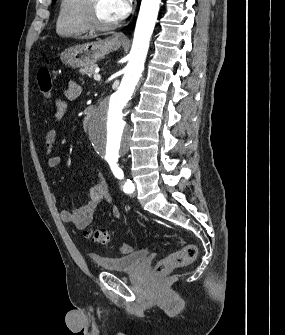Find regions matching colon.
I'll use <instances>...</instances> for the list:
<instances>
[{
	"instance_id": "colon-1",
	"label": "colon",
	"mask_w": 285,
	"mask_h": 335,
	"mask_svg": "<svg viewBox=\"0 0 285 335\" xmlns=\"http://www.w3.org/2000/svg\"><path fill=\"white\" fill-rule=\"evenodd\" d=\"M37 82L40 93L45 102L51 99L53 92L52 74L48 65H43L37 73ZM87 235L97 243L107 245L111 241L110 233L105 229H91ZM122 254L132 251V247L123 243L119 246ZM197 256V247L194 244H186L180 250L170 253L162 258L155 266V274L163 276L168 274L173 268L190 264Z\"/></svg>"
}]
</instances>
